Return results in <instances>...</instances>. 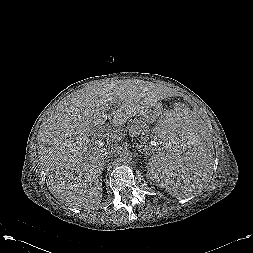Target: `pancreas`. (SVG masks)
Segmentation results:
<instances>
[{
	"mask_svg": "<svg viewBox=\"0 0 253 253\" xmlns=\"http://www.w3.org/2000/svg\"><path fill=\"white\" fill-rule=\"evenodd\" d=\"M149 126L146 122L136 119L131 121L125 128L120 129V131L116 132L118 134V138H123L122 132H129L131 136H138L140 135L141 143L146 144L149 139ZM117 139V138H116Z\"/></svg>",
	"mask_w": 253,
	"mask_h": 253,
	"instance_id": "pancreas-1",
	"label": "pancreas"
}]
</instances>
